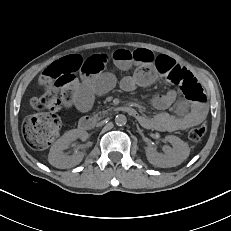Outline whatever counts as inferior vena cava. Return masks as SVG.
Wrapping results in <instances>:
<instances>
[{
	"label": "inferior vena cava",
	"mask_w": 231,
	"mask_h": 231,
	"mask_svg": "<svg viewBox=\"0 0 231 231\" xmlns=\"http://www.w3.org/2000/svg\"><path fill=\"white\" fill-rule=\"evenodd\" d=\"M107 121H108V118H107V117L102 118L100 121H98V122L96 123V127H97V128H100V127L102 126V124L105 123V122H107Z\"/></svg>",
	"instance_id": "602c4592"
}]
</instances>
